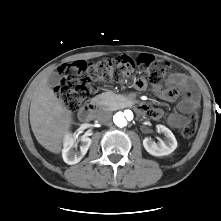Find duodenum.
Listing matches in <instances>:
<instances>
[{
  "mask_svg": "<svg viewBox=\"0 0 221 221\" xmlns=\"http://www.w3.org/2000/svg\"><path fill=\"white\" fill-rule=\"evenodd\" d=\"M100 106V103H99V99L98 98H94L90 104L88 105L87 108H85L84 110H82L80 113H79V118L81 121L83 122H87L89 121L92 117H93V114L94 112L99 108ZM137 108L139 110H142V107L141 106H137Z\"/></svg>",
  "mask_w": 221,
  "mask_h": 221,
  "instance_id": "duodenum-1",
  "label": "duodenum"
}]
</instances>
